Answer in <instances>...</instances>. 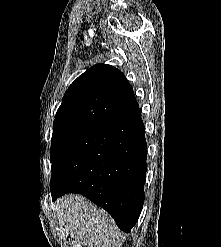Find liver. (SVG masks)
Segmentation results:
<instances>
[{
  "instance_id": "obj_1",
  "label": "liver",
  "mask_w": 221,
  "mask_h": 247,
  "mask_svg": "<svg viewBox=\"0 0 221 247\" xmlns=\"http://www.w3.org/2000/svg\"><path fill=\"white\" fill-rule=\"evenodd\" d=\"M53 210L77 242L88 247H120L124 236L109 214L78 194L58 199Z\"/></svg>"
}]
</instances>
